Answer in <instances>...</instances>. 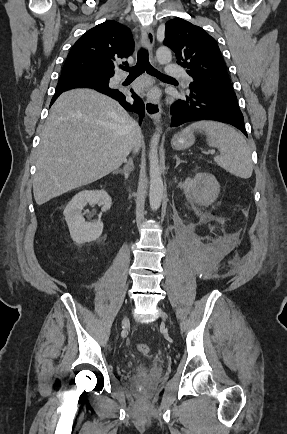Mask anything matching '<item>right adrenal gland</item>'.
<instances>
[{"mask_svg": "<svg viewBox=\"0 0 287 434\" xmlns=\"http://www.w3.org/2000/svg\"><path fill=\"white\" fill-rule=\"evenodd\" d=\"M125 165L123 169L116 170L114 173H120L124 175L125 180L129 178V174L133 171L134 165L132 158H129L128 161H124Z\"/></svg>", "mask_w": 287, "mask_h": 434, "instance_id": "right-adrenal-gland-1", "label": "right adrenal gland"}]
</instances>
